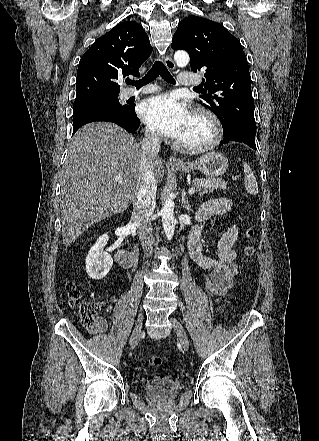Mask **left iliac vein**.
I'll list each match as a JSON object with an SVG mask.
<instances>
[{"label":"left iliac vein","instance_id":"1","mask_svg":"<svg viewBox=\"0 0 319 441\" xmlns=\"http://www.w3.org/2000/svg\"><path fill=\"white\" fill-rule=\"evenodd\" d=\"M171 322L182 346L184 348H187L189 346V341L182 324L175 318H171Z\"/></svg>","mask_w":319,"mask_h":441}]
</instances>
